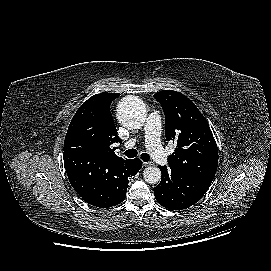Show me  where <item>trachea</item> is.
Returning <instances> with one entry per match:
<instances>
[{
  "label": "trachea",
  "instance_id": "obj_1",
  "mask_svg": "<svg viewBox=\"0 0 271 271\" xmlns=\"http://www.w3.org/2000/svg\"><path fill=\"white\" fill-rule=\"evenodd\" d=\"M138 154L136 149H128L126 152H124V155L127 156L128 158H134L136 157ZM140 158L144 161V162H148L150 160V156L147 153H142L140 155Z\"/></svg>",
  "mask_w": 271,
  "mask_h": 271
}]
</instances>
